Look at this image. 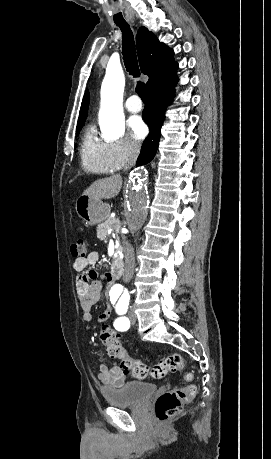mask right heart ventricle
<instances>
[{"label": "right heart ventricle", "instance_id": "right-heart-ventricle-1", "mask_svg": "<svg viewBox=\"0 0 271 459\" xmlns=\"http://www.w3.org/2000/svg\"><path fill=\"white\" fill-rule=\"evenodd\" d=\"M80 159L83 170L90 173H111L118 168L111 155V143L98 139L92 125L82 136Z\"/></svg>", "mask_w": 271, "mask_h": 459}]
</instances>
